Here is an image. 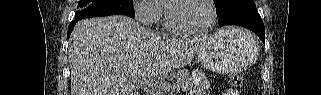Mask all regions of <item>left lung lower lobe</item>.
<instances>
[{
    "mask_svg": "<svg viewBox=\"0 0 321 95\" xmlns=\"http://www.w3.org/2000/svg\"><path fill=\"white\" fill-rule=\"evenodd\" d=\"M219 25H239L256 33L264 42L265 29L263 21L253 0H233L220 14Z\"/></svg>",
    "mask_w": 321,
    "mask_h": 95,
    "instance_id": "left-lung-lower-lobe-1",
    "label": "left lung lower lobe"
}]
</instances>
